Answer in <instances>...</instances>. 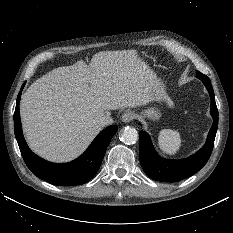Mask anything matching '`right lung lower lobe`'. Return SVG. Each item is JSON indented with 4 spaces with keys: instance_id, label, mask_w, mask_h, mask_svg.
Returning a JSON list of instances; mask_svg holds the SVG:
<instances>
[{
    "instance_id": "right-lung-lower-lobe-1",
    "label": "right lung lower lobe",
    "mask_w": 233,
    "mask_h": 233,
    "mask_svg": "<svg viewBox=\"0 0 233 233\" xmlns=\"http://www.w3.org/2000/svg\"><path fill=\"white\" fill-rule=\"evenodd\" d=\"M17 97L16 109L14 113V131L22 157L28 168L39 178L59 186H75L88 182L97 173L105 151L111 138L116 133L118 127L112 125L107 127L93 140L88 149L76 160L56 164L43 160L34 154L27 146L22 134L21 120L19 114V102L21 92Z\"/></svg>"
}]
</instances>
